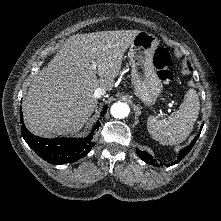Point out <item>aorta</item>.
I'll list each match as a JSON object with an SVG mask.
<instances>
[{"label": "aorta", "mask_w": 221, "mask_h": 221, "mask_svg": "<svg viewBox=\"0 0 221 221\" xmlns=\"http://www.w3.org/2000/svg\"><path fill=\"white\" fill-rule=\"evenodd\" d=\"M130 112L129 106L126 103L117 102L111 107V114L113 117L122 119L128 116Z\"/></svg>", "instance_id": "762f6f07"}]
</instances>
